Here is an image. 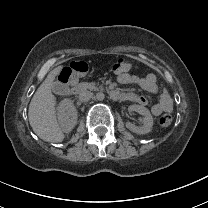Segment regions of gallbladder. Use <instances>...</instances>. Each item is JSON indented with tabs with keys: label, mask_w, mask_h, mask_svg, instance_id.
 Instances as JSON below:
<instances>
[{
	"label": "gallbladder",
	"mask_w": 208,
	"mask_h": 208,
	"mask_svg": "<svg viewBox=\"0 0 208 208\" xmlns=\"http://www.w3.org/2000/svg\"><path fill=\"white\" fill-rule=\"evenodd\" d=\"M51 89L58 96H63L67 92V87L63 83H54V84H52Z\"/></svg>",
	"instance_id": "1"
}]
</instances>
